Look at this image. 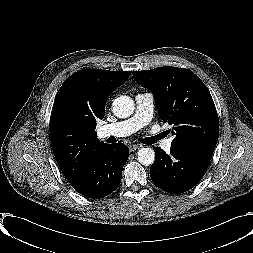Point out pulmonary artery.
Returning a JSON list of instances; mask_svg holds the SVG:
<instances>
[{"label":"pulmonary artery","mask_w":253,"mask_h":253,"mask_svg":"<svg viewBox=\"0 0 253 253\" xmlns=\"http://www.w3.org/2000/svg\"><path fill=\"white\" fill-rule=\"evenodd\" d=\"M154 107V97L151 93H140L136 96L135 114L126 120L103 126L99 131L101 138L125 137L139 129L146 127L152 120ZM173 137H168L161 143L164 150H170Z\"/></svg>","instance_id":"pulmonary-artery-1"}]
</instances>
